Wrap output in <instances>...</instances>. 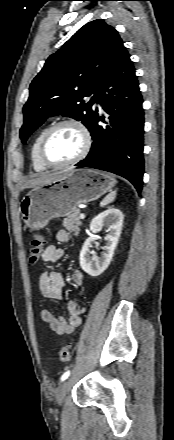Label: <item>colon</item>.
<instances>
[{"label": "colon", "instance_id": "1", "mask_svg": "<svg viewBox=\"0 0 174 440\" xmlns=\"http://www.w3.org/2000/svg\"><path fill=\"white\" fill-rule=\"evenodd\" d=\"M44 239L39 234H34L31 239L30 251H29V261L34 264L40 258L43 248H44ZM70 346H64L61 348L59 352V359L62 362H67L70 359Z\"/></svg>", "mask_w": 174, "mask_h": 440}]
</instances>
